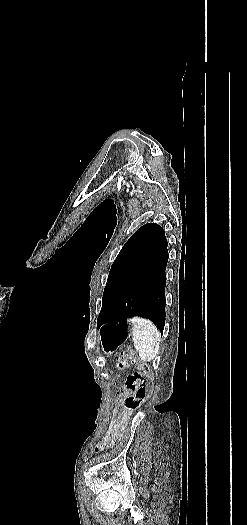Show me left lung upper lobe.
<instances>
[{
  "mask_svg": "<svg viewBox=\"0 0 247 525\" xmlns=\"http://www.w3.org/2000/svg\"><path fill=\"white\" fill-rule=\"evenodd\" d=\"M165 238L164 230L155 223L139 228L125 243L111 266L97 319L101 325L106 313L135 279L147 268Z\"/></svg>",
  "mask_w": 247,
  "mask_h": 525,
  "instance_id": "1",
  "label": "left lung upper lobe"
}]
</instances>
